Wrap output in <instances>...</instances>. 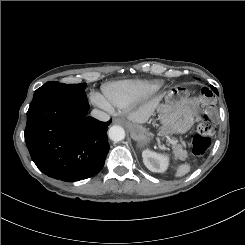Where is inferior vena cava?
Wrapping results in <instances>:
<instances>
[{"mask_svg":"<svg viewBox=\"0 0 245 245\" xmlns=\"http://www.w3.org/2000/svg\"><path fill=\"white\" fill-rule=\"evenodd\" d=\"M91 116L103 122H107L110 119V116L107 113L98 109H93L91 111Z\"/></svg>","mask_w":245,"mask_h":245,"instance_id":"1","label":"inferior vena cava"}]
</instances>
